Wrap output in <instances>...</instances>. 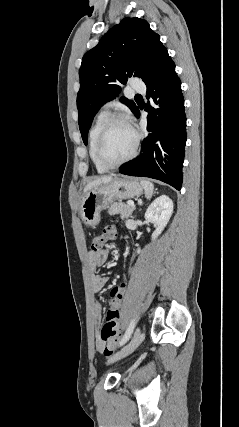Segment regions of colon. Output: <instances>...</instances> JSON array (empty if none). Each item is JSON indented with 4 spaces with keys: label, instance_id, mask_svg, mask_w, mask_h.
I'll return each instance as SVG.
<instances>
[{
    "label": "colon",
    "instance_id": "5ec220e1",
    "mask_svg": "<svg viewBox=\"0 0 239 427\" xmlns=\"http://www.w3.org/2000/svg\"><path fill=\"white\" fill-rule=\"evenodd\" d=\"M124 236L125 233L116 230L114 226L106 227L101 235H97L92 239L90 252L98 253L108 240L113 238L114 242H119V239ZM126 289V281H117L109 291L107 303L110 308L106 314L105 322L100 333L101 340L104 343L102 352L106 356H110L113 353V346L120 338L119 308H122L123 301L126 300Z\"/></svg>",
    "mask_w": 239,
    "mask_h": 427
}]
</instances>
